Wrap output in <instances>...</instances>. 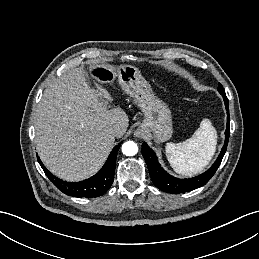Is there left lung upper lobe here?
Instances as JSON below:
<instances>
[{
  "instance_id": "obj_1",
  "label": "left lung upper lobe",
  "mask_w": 259,
  "mask_h": 259,
  "mask_svg": "<svg viewBox=\"0 0 259 259\" xmlns=\"http://www.w3.org/2000/svg\"><path fill=\"white\" fill-rule=\"evenodd\" d=\"M218 91L220 94H225V91L220 83L218 84Z\"/></svg>"
}]
</instances>
